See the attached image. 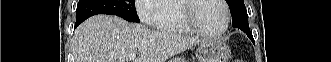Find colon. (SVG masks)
I'll return each instance as SVG.
<instances>
[{
	"mask_svg": "<svg viewBox=\"0 0 331 62\" xmlns=\"http://www.w3.org/2000/svg\"><path fill=\"white\" fill-rule=\"evenodd\" d=\"M235 62H242L241 60H236Z\"/></svg>",
	"mask_w": 331,
	"mask_h": 62,
	"instance_id": "1",
	"label": "colon"
}]
</instances>
